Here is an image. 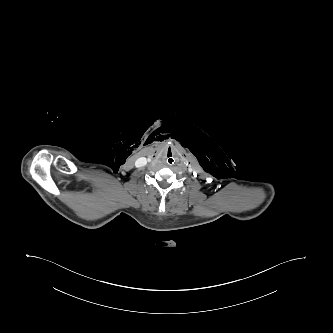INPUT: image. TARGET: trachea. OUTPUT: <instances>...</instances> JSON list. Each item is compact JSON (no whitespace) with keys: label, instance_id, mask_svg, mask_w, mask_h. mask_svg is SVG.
<instances>
[{"label":"trachea","instance_id":"obj_1","mask_svg":"<svg viewBox=\"0 0 333 333\" xmlns=\"http://www.w3.org/2000/svg\"><path fill=\"white\" fill-rule=\"evenodd\" d=\"M163 160L166 164L171 165L176 163L177 156L174 153L168 152L164 155Z\"/></svg>","mask_w":333,"mask_h":333}]
</instances>
